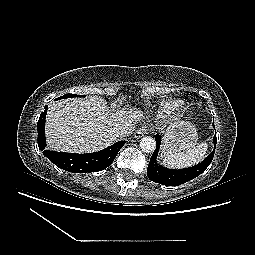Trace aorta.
Here are the masks:
<instances>
[{
    "label": "aorta",
    "instance_id": "762f6f07",
    "mask_svg": "<svg viewBox=\"0 0 255 255\" xmlns=\"http://www.w3.org/2000/svg\"><path fill=\"white\" fill-rule=\"evenodd\" d=\"M139 145L141 150L145 153H151L156 149V141L150 136L143 137Z\"/></svg>",
    "mask_w": 255,
    "mask_h": 255
}]
</instances>
